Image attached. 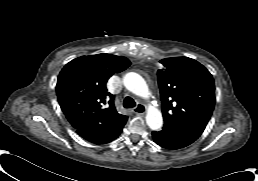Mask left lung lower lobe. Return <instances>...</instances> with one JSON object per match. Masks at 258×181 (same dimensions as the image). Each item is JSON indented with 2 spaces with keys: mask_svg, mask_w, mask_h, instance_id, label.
Segmentation results:
<instances>
[{
  "mask_svg": "<svg viewBox=\"0 0 258 181\" xmlns=\"http://www.w3.org/2000/svg\"><path fill=\"white\" fill-rule=\"evenodd\" d=\"M201 134L190 129L164 124L161 131L152 132L154 142L167 149H180L193 143Z\"/></svg>",
  "mask_w": 258,
  "mask_h": 181,
  "instance_id": "obj_1",
  "label": "left lung lower lobe"
}]
</instances>
